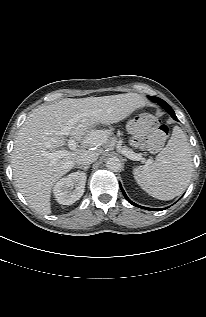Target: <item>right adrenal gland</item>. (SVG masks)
I'll return each mask as SVG.
<instances>
[{
	"mask_svg": "<svg viewBox=\"0 0 206 317\" xmlns=\"http://www.w3.org/2000/svg\"><path fill=\"white\" fill-rule=\"evenodd\" d=\"M89 167H90V166L87 165V166H79V167H77V168L83 169L84 171H86Z\"/></svg>",
	"mask_w": 206,
	"mask_h": 317,
	"instance_id": "1",
	"label": "right adrenal gland"
}]
</instances>
